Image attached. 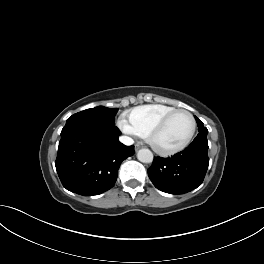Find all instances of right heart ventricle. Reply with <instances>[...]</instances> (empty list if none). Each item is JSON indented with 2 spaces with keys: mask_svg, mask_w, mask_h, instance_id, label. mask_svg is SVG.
<instances>
[{
  "mask_svg": "<svg viewBox=\"0 0 264 264\" xmlns=\"http://www.w3.org/2000/svg\"><path fill=\"white\" fill-rule=\"evenodd\" d=\"M176 108L165 104H148L134 108L128 119L136 134L147 137L150 130L167 114Z\"/></svg>",
  "mask_w": 264,
  "mask_h": 264,
  "instance_id": "right-heart-ventricle-1",
  "label": "right heart ventricle"
}]
</instances>
